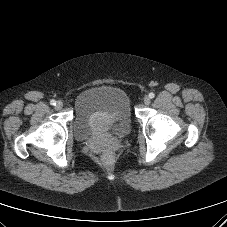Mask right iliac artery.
Masks as SVG:
<instances>
[{
  "mask_svg": "<svg viewBox=\"0 0 227 227\" xmlns=\"http://www.w3.org/2000/svg\"><path fill=\"white\" fill-rule=\"evenodd\" d=\"M50 104H51L52 106H55V105H56V101H55L54 99H52V100L50 101Z\"/></svg>",
  "mask_w": 227,
  "mask_h": 227,
  "instance_id": "right-iliac-artery-1",
  "label": "right iliac artery"
}]
</instances>
